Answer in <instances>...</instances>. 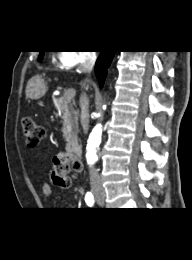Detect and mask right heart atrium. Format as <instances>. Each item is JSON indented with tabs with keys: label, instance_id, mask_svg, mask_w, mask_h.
Masks as SVG:
<instances>
[{
	"label": "right heart atrium",
	"instance_id": "right-heart-atrium-1",
	"mask_svg": "<svg viewBox=\"0 0 192 260\" xmlns=\"http://www.w3.org/2000/svg\"><path fill=\"white\" fill-rule=\"evenodd\" d=\"M91 59V54L84 51H61L57 55L59 65L65 69L87 63Z\"/></svg>",
	"mask_w": 192,
	"mask_h": 260
}]
</instances>
